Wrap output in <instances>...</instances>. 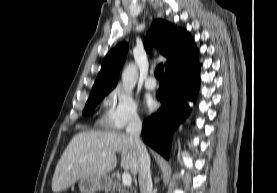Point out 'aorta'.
Returning <instances> with one entry per match:
<instances>
[{
	"instance_id": "obj_1",
	"label": "aorta",
	"mask_w": 277,
	"mask_h": 193,
	"mask_svg": "<svg viewBox=\"0 0 277 193\" xmlns=\"http://www.w3.org/2000/svg\"><path fill=\"white\" fill-rule=\"evenodd\" d=\"M138 80V69L134 63H129L122 73V87L131 93L136 86Z\"/></svg>"
}]
</instances>
